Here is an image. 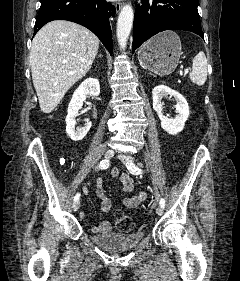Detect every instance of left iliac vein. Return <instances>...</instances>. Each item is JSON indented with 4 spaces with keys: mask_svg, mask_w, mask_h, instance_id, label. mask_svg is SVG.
Returning a JSON list of instances; mask_svg holds the SVG:
<instances>
[{
    "mask_svg": "<svg viewBox=\"0 0 240 281\" xmlns=\"http://www.w3.org/2000/svg\"><path fill=\"white\" fill-rule=\"evenodd\" d=\"M118 158L126 165L133 162V158L126 154H120L118 155ZM156 213L158 216H161L163 214V208L161 206L157 207Z\"/></svg>",
    "mask_w": 240,
    "mask_h": 281,
    "instance_id": "obj_1",
    "label": "left iliac vein"
}]
</instances>
